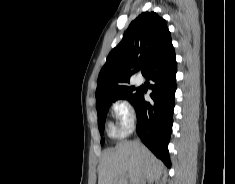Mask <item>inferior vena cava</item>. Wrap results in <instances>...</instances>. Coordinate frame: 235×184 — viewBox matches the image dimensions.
<instances>
[{"label": "inferior vena cava", "mask_w": 235, "mask_h": 184, "mask_svg": "<svg viewBox=\"0 0 235 184\" xmlns=\"http://www.w3.org/2000/svg\"><path fill=\"white\" fill-rule=\"evenodd\" d=\"M135 144H139V140H137V142H135Z\"/></svg>", "instance_id": "1"}]
</instances>
